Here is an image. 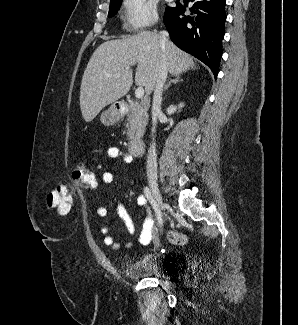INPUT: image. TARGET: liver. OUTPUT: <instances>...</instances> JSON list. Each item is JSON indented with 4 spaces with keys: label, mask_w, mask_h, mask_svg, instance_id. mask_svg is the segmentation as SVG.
Instances as JSON below:
<instances>
[{
    "label": "liver",
    "mask_w": 298,
    "mask_h": 325,
    "mask_svg": "<svg viewBox=\"0 0 298 325\" xmlns=\"http://www.w3.org/2000/svg\"><path fill=\"white\" fill-rule=\"evenodd\" d=\"M162 54H165L170 74H182L196 68L193 56L180 50L169 38L161 44L160 34L151 30L102 42L93 52L81 80L79 100L85 122L93 120L107 104L127 94L133 80L150 94L155 88ZM136 62L133 78L130 66Z\"/></svg>",
    "instance_id": "1"
}]
</instances>
